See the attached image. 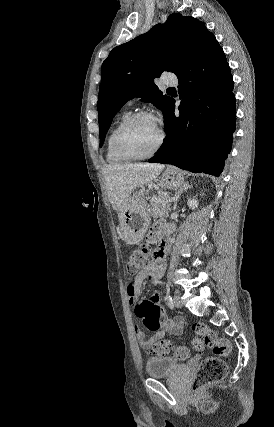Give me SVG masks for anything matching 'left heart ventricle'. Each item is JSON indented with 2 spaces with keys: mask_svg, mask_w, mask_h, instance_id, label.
Wrapping results in <instances>:
<instances>
[{
  "mask_svg": "<svg viewBox=\"0 0 274 427\" xmlns=\"http://www.w3.org/2000/svg\"><path fill=\"white\" fill-rule=\"evenodd\" d=\"M160 139V127L151 118L134 121L123 133L122 144L130 154L143 156L157 146Z\"/></svg>",
  "mask_w": 274,
  "mask_h": 427,
  "instance_id": "b2bd125f",
  "label": "left heart ventricle"
}]
</instances>
